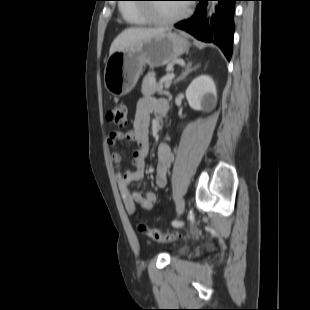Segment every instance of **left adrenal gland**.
Returning <instances> with one entry per match:
<instances>
[{
    "instance_id": "a2214340",
    "label": "left adrenal gland",
    "mask_w": 310,
    "mask_h": 310,
    "mask_svg": "<svg viewBox=\"0 0 310 310\" xmlns=\"http://www.w3.org/2000/svg\"><path fill=\"white\" fill-rule=\"evenodd\" d=\"M198 67H199V65L194 67V68H192V63L191 62L188 63L187 66H186L185 71L174 81V84H176L179 81L185 79L192 71H195Z\"/></svg>"
}]
</instances>
